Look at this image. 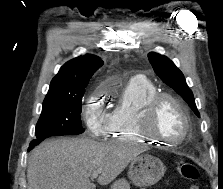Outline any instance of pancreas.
<instances>
[{
	"label": "pancreas",
	"instance_id": "pancreas-1",
	"mask_svg": "<svg viewBox=\"0 0 223 189\" xmlns=\"http://www.w3.org/2000/svg\"><path fill=\"white\" fill-rule=\"evenodd\" d=\"M113 189H130V185L125 180H120L113 185Z\"/></svg>",
	"mask_w": 223,
	"mask_h": 189
}]
</instances>
